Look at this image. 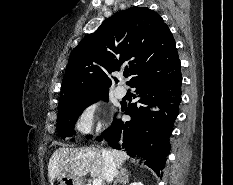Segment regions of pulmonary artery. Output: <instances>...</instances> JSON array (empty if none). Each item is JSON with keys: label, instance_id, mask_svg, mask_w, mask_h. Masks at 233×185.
I'll return each mask as SVG.
<instances>
[{"label": "pulmonary artery", "instance_id": "obj_1", "mask_svg": "<svg viewBox=\"0 0 233 185\" xmlns=\"http://www.w3.org/2000/svg\"><path fill=\"white\" fill-rule=\"evenodd\" d=\"M126 87L123 86V85H119L117 88H116V94L118 95V97L122 98L126 95Z\"/></svg>", "mask_w": 233, "mask_h": 185}]
</instances>
